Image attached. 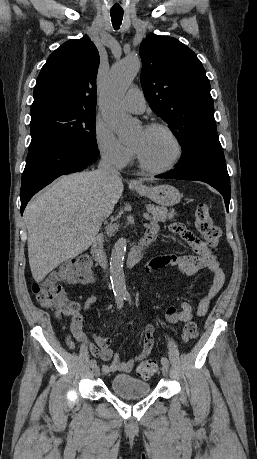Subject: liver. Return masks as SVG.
Instances as JSON below:
<instances>
[{
  "label": "liver",
  "instance_id": "6515ba94",
  "mask_svg": "<svg viewBox=\"0 0 257 459\" xmlns=\"http://www.w3.org/2000/svg\"><path fill=\"white\" fill-rule=\"evenodd\" d=\"M123 189L121 178L99 179L96 171H84L62 176L28 203V257L37 283L91 246Z\"/></svg>",
  "mask_w": 257,
  "mask_h": 459
}]
</instances>
